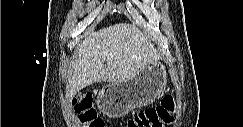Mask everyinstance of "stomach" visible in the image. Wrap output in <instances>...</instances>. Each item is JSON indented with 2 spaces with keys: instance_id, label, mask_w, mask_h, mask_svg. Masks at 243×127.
<instances>
[{
  "instance_id": "1",
  "label": "stomach",
  "mask_w": 243,
  "mask_h": 127,
  "mask_svg": "<svg viewBox=\"0 0 243 127\" xmlns=\"http://www.w3.org/2000/svg\"><path fill=\"white\" fill-rule=\"evenodd\" d=\"M166 68L159 60L146 65L134 77L105 85L97 95V105L111 118L124 116L135 108L152 103L166 89Z\"/></svg>"
}]
</instances>
